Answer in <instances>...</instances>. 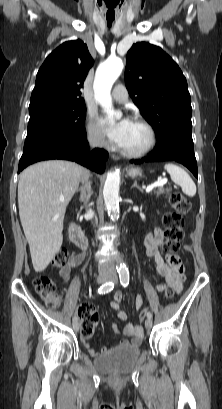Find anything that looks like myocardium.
Here are the masks:
<instances>
[{
	"instance_id": "obj_1",
	"label": "myocardium",
	"mask_w": 222,
	"mask_h": 409,
	"mask_svg": "<svg viewBox=\"0 0 222 409\" xmlns=\"http://www.w3.org/2000/svg\"><path fill=\"white\" fill-rule=\"evenodd\" d=\"M132 122H135L137 124H140L141 126H143L149 135V140L147 145L140 149V150H127L124 148H120V152L128 157H132V158H139V157H143L145 155H147L149 152L152 151V149L155 147L156 142H157V135H156V131L154 129V127L152 126V124L150 122H148L147 120H145L142 117H134L132 119Z\"/></svg>"
}]
</instances>
